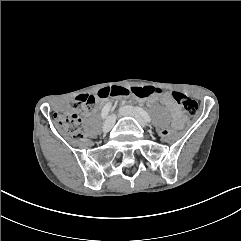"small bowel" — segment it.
<instances>
[{"label":"small bowel","instance_id":"obj_1","mask_svg":"<svg viewBox=\"0 0 241 241\" xmlns=\"http://www.w3.org/2000/svg\"><path fill=\"white\" fill-rule=\"evenodd\" d=\"M153 99L158 100L163 105H165L166 108L172 113V115L176 120H181V113L179 112L177 106L175 105V103L173 102L169 94L167 93L156 94L153 96Z\"/></svg>","mask_w":241,"mask_h":241}]
</instances>
